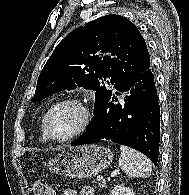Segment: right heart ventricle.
Segmentation results:
<instances>
[{
  "instance_id": "right-heart-ventricle-1",
  "label": "right heart ventricle",
  "mask_w": 189,
  "mask_h": 195,
  "mask_svg": "<svg viewBox=\"0 0 189 195\" xmlns=\"http://www.w3.org/2000/svg\"><path fill=\"white\" fill-rule=\"evenodd\" d=\"M41 136H42V139L44 141H47L48 140V138L46 137V134H45V132L43 130V120H42V123H41Z\"/></svg>"
}]
</instances>
